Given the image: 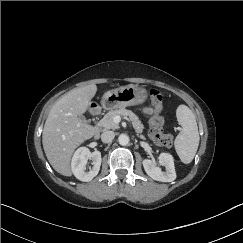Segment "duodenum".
<instances>
[{
	"label": "duodenum",
	"instance_id": "1",
	"mask_svg": "<svg viewBox=\"0 0 243 243\" xmlns=\"http://www.w3.org/2000/svg\"><path fill=\"white\" fill-rule=\"evenodd\" d=\"M101 112V109L100 108H97L96 110H95V112H94V115H97V114H99ZM95 136H96V133H95Z\"/></svg>",
	"mask_w": 243,
	"mask_h": 243
}]
</instances>
